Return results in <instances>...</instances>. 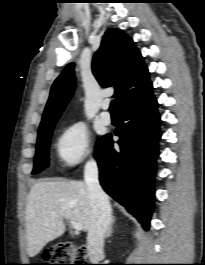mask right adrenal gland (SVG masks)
<instances>
[{
	"mask_svg": "<svg viewBox=\"0 0 205 265\" xmlns=\"http://www.w3.org/2000/svg\"><path fill=\"white\" fill-rule=\"evenodd\" d=\"M114 221H115V218H114V216H112L109 228H108V230L106 232V235H105V238H108V237H110L112 235V233H113V228L112 227H113Z\"/></svg>",
	"mask_w": 205,
	"mask_h": 265,
	"instance_id": "right-adrenal-gland-1",
	"label": "right adrenal gland"
}]
</instances>
